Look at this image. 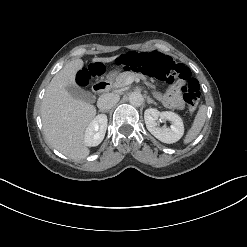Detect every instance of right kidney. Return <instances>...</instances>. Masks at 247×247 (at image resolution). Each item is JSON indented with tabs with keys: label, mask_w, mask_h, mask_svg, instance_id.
<instances>
[{
	"label": "right kidney",
	"mask_w": 247,
	"mask_h": 247,
	"mask_svg": "<svg viewBox=\"0 0 247 247\" xmlns=\"http://www.w3.org/2000/svg\"><path fill=\"white\" fill-rule=\"evenodd\" d=\"M106 129L107 117L105 115L96 116L86 128L85 144L90 147L99 145L104 139Z\"/></svg>",
	"instance_id": "right-kidney-1"
}]
</instances>
